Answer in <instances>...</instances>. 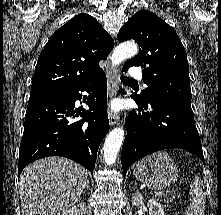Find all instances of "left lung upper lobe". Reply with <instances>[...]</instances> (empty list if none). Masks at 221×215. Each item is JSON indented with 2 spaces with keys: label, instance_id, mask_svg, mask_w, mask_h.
Listing matches in <instances>:
<instances>
[{
  "label": "left lung upper lobe",
  "instance_id": "1",
  "mask_svg": "<svg viewBox=\"0 0 221 215\" xmlns=\"http://www.w3.org/2000/svg\"><path fill=\"white\" fill-rule=\"evenodd\" d=\"M120 42L134 40L140 49L123 69L143 68L148 87L136 94L142 101L162 98L190 105L191 90L186 51L175 30L154 13L141 10L125 23L118 35Z\"/></svg>",
  "mask_w": 221,
  "mask_h": 215
}]
</instances>
